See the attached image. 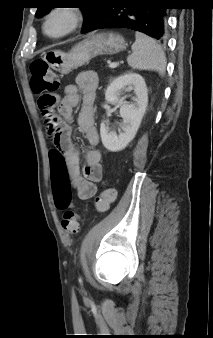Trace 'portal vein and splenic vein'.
<instances>
[{"label":"portal vein and splenic vein","mask_w":213,"mask_h":338,"mask_svg":"<svg viewBox=\"0 0 213 338\" xmlns=\"http://www.w3.org/2000/svg\"><path fill=\"white\" fill-rule=\"evenodd\" d=\"M118 66L117 62H109V67L110 68H116Z\"/></svg>","instance_id":"portal-vein-and-splenic-vein-1"}]
</instances>
